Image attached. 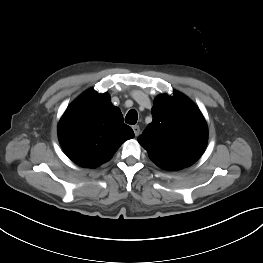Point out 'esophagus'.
Instances as JSON below:
<instances>
[{"label":"esophagus","mask_w":263,"mask_h":263,"mask_svg":"<svg viewBox=\"0 0 263 263\" xmlns=\"http://www.w3.org/2000/svg\"><path fill=\"white\" fill-rule=\"evenodd\" d=\"M132 129L134 131L135 136H139V134H140V127L138 125H134L132 127Z\"/></svg>","instance_id":"34e87169"}]
</instances>
